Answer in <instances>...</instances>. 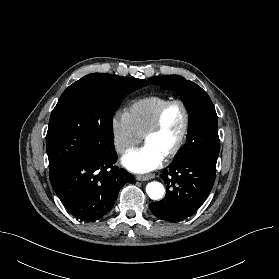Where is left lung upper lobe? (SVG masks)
Here are the masks:
<instances>
[{"instance_id": "obj_1", "label": "left lung upper lobe", "mask_w": 279, "mask_h": 279, "mask_svg": "<svg viewBox=\"0 0 279 279\" xmlns=\"http://www.w3.org/2000/svg\"><path fill=\"white\" fill-rule=\"evenodd\" d=\"M154 85L176 91L189 113L187 142L173 162L194 159L216 168L220 149L218 121L214 105L208 94L196 83L179 75L149 78Z\"/></svg>"}]
</instances>
